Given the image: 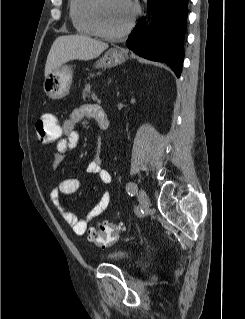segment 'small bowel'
Returning a JSON list of instances; mask_svg holds the SVG:
<instances>
[{
    "label": "small bowel",
    "mask_w": 245,
    "mask_h": 319,
    "mask_svg": "<svg viewBox=\"0 0 245 319\" xmlns=\"http://www.w3.org/2000/svg\"><path fill=\"white\" fill-rule=\"evenodd\" d=\"M104 112L103 109L96 104H84L73 110L70 116L62 123V137L56 144L53 156V168L57 169L64 160L65 154L75 149L80 143L81 137L76 129V125L85 118H91L97 121V117ZM90 174L96 175L101 183L109 185L112 182L111 174L103 168L101 161L95 160L88 169ZM81 186L78 178H67L60 181L50 192V200L60 214L62 219L71 227L76 235H83L91 220L101 215L111 203L110 192H104L99 201L91 208L88 214L78 219L71 211H69L60 201L62 195H70L76 193Z\"/></svg>",
    "instance_id": "obj_1"
}]
</instances>
